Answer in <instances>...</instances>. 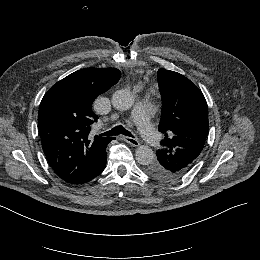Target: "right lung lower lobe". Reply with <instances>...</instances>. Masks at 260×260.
<instances>
[{
    "instance_id": "1",
    "label": "right lung lower lobe",
    "mask_w": 260,
    "mask_h": 260,
    "mask_svg": "<svg viewBox=\"0 0 260 260\" xmlns=\"http://www.w3.org/2000/svg\"><path fill=\"white\" fill-rule=\"evenodd\" d=\"M104 168H105V167H104ZM104 168L101 169V170H100L99 172H97L96 174L92 175L91 177H88V178H86L85 180H82V181L77 182V183H74V184H84V183H86V182H88V181H91V180L94 179L96 176H98V175L104 170Z\"/></svg>"
}]
</instances>
